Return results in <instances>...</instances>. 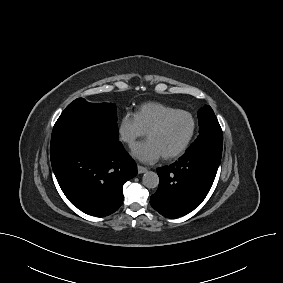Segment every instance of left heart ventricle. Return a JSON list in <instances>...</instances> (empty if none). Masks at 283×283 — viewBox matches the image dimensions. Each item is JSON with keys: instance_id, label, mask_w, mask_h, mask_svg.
Listing matches in <instances>:
<instances>
[{"instance_id": "1", "label": "left heart ventricle", "mask_w": 283, "mask_h": 283, "mask_svg": "<svg viewBox=\"0 0 283 283\" xmlns=\"http://www.w3.org/2000/svg\"><path fill=\"white\" fill-rule=\"evenodd\" d=\"M191 131V121L187 116L172 118L165 127L148 137L159 148L162 155L176 151L185 142Z\"/></svg>"}]
</instances>
